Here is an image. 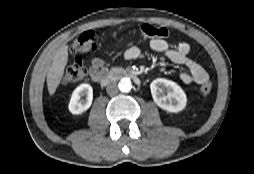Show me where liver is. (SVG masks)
Instances as JSON below:
<instances>
[{"label":"liver","mask_w":254,"mask_h":174,"mask_svg":"<svg viewBox=\"0 0 254 174\" xmlns=\"http://www.w3.org/2000/svg\"><path fill=\"white\" fill-rule=\"evenodd\" d=\"M67 62L68 46L64 45L56 51L53 61L48 69L47 87L50 95H53L56 92V89L63 78Z\"/></svg>","instance_id":"obj_1"}]
</instances>
